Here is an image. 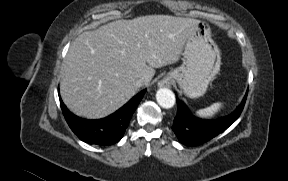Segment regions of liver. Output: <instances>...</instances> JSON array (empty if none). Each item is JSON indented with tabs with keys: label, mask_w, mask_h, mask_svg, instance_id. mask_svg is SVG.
I'll return each mask as SVG.
<instances>
[{
	"label": "liver",
	"mask_w": 288,
	"mask_h": 181,
	"mask_svg": "<svg viewBox=\"0 0 288 181\" xmlns=\"http://www.w3.org/2000/svg\"><path fill=\"white\" fill-rule=\"evenodd\" d=\"M197 20L147 15L85 31L70 45L62 66L60 93L75 114L94 119L123 106L146 86L154 68L176 63Z\"/></svg>",
	"instance_id": "6515ba94"
}]
</instances>
